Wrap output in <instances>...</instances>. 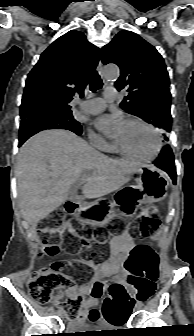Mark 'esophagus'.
<instances>
[{"label":"esophagus","mask_w":194,"mask_h":336,"mask_svg":"<svg viewBox=\"0 0 194 336\" xmlns=\"http://www.w3.org/2000/svg\"><path fill=\"white\" fill-rule=\"evenodd\" d=\"M102 62H101V60L99 61V63H98V66H97V71L99 72V74L101 75L102 74Z\"/></svg>","instance_id":"esophagus-1"}]
</instances>
